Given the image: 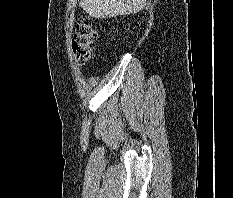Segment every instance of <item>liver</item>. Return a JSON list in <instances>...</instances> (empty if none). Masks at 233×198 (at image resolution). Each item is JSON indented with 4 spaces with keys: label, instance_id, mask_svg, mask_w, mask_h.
<instances>
[{
    "label": "liver",
    "instance_id": "liver-1",
    "mask_svg": "<svg viewBox=\"0 0 233 198\" xmlns=\"http://www.w3.org/2000/svg\"><path fill=\"white\" fill-rule=\"evenodd\" d=\"M148 0H80V7L96 19L140 12Z\"/></svg>",
    "mask_w": 233,
    "mask_h": 198
}]
</instances>
